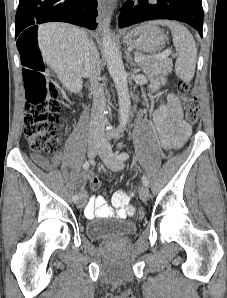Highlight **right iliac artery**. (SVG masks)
I'll use <instances>...</instances> for the list:
<instances>
[{
	"label": "right iliac artery",
	"mask_w": 227,
	"mask_h": 298,
	"mask_svg": "<svg viewBox=\"0 0 227 298\" xmlns=\"http://www.w3.org/2000/svg\"><path fill=\"white\" fill-rule=\"evenodd\" d=\"M92 163V160H87L83 163V169L87 170L90 167V164ZM72 200L74 202H76L78 200V196L77 195H73Z\"/></svg>",
	"instance_id": "1"
}]
</instances>
